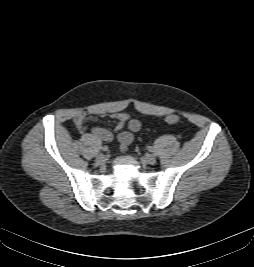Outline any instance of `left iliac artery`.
<instances>
[{
	"label": "left iliac artery",
	"instance_id": "1",
	"mask_svg": "<svg viewBox=\"0 0 254 267\" xmlns=\"http://www.w3.org/2000/svg\"><path fill=\"white\" fill-rule=\"evenodd\" d=\"M148 149H149V151L153 152V147L152 146H149Z\"/></svg>",
	"mask_w": 254,
	"mask_h": 267
}]
</instances>
